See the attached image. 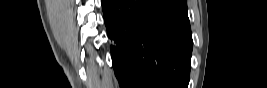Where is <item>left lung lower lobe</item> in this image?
<instances>
[{"label":"left lung lower lobe","instance_id":"obj_1","mask_svg":"<svg viewBox=\"0 0 267 88\" xmlns=\"http://www.w3.org/2000/svg\"><path fill=\"white\" fill-rule=\"evenodd\" d=\"M120 88H186L192 36L186 0H102Z\"/></svg>","mask_w":267,"mask_h":88}]
</instances>
